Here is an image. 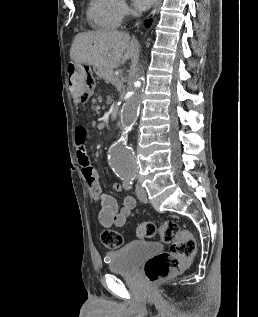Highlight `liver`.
Listing matches in <instances>:
<instances>
[{"mask_svg": "<svg viewBox=\"0 0 258 317\" xmlns=\"http://www.w3.org/2000/svg\"><path fill=\"white\" fill-rule=\"evenodd\" d=\"M139 42L131 38L128 32L121 30H90L78 32L70 50L71 60L76 64H92L103 72L113 70L124 64L127 58H133ZM126 50L124 56H122Z\"/></svg>", "mask_w": 258, "mask_h": 317, "instance_id": "6515ba94", "label": "liver"}]
</instances>
